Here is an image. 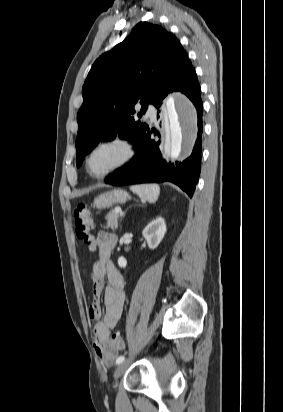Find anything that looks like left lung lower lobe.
Listing matches in <instances>:
<instances>
[{
    "label": "left lung lower lobe",
    "instance_id": "left-lung-lower-lobe-1",
    "mask_svg": "<svg viewBox=\"0 0 283 412\" xmlns=\"http://www.w3.org/2000/svg\"><path fill=\"white\" fill-rule=\"evenodd\" d=\"M174 91L188 96L197 109L198 136L191 156L182 163H166L160 152V140L154 137L159 134L150 127L144 128L130 140L137 151L133 160L107 177L106 183L118 186L172 182L192 197L200 175L202 136L201 89L194 69L177 82Z\"/></svg>",
    "mask_w": 283,
    "mask_h": 412
}]
</instances>
